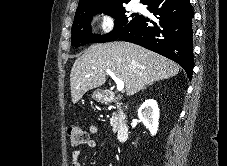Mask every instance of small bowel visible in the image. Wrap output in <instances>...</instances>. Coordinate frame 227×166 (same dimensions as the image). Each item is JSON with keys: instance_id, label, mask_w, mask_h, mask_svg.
Returning <instances> with one entry per match:
<instances>
[{"instance_id": "obj_1", "label": "small bowel", "mask_w": 227, "mask_h": 166, "mask_svg": "<svg viewBox=\"0 0 227 166\" xmlns=\"http://www.w3.org/2000/svg\"><path fill=\"white\" fill-rule=\"evenodd\" d=\"M98 132H99V130H98L97 126H95V125L89 126V133L91 135H96V134H98ZM87 146L89 148H94L96 146V141L94 139H90L87 143ZM97 159H99V157ZM72 166H82L81 154H80V151H78V150L73 152Z\"/></svg>"}]
</instances>
